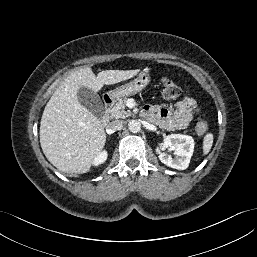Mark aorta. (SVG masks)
<instances>
[{
  "label": "aorta",
  "instance_id": "obj_1",
  "mask_svg": "<svg viewBox=\"0 0 257 257\" xmlns=\"http://www.w3.org/2000/svg\"><path fill=\"white\" fill-rule=\"evenodd\" d=\"M128 128L131 132L137 133L141 130V124L138 120H131L128 123Z\"/></svg>",
  "mask_w": 257,
  "mask_h": 257
}]
</instances>
